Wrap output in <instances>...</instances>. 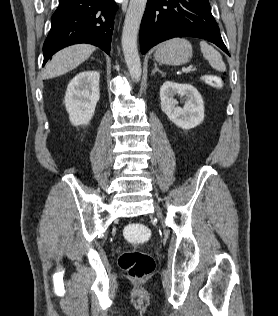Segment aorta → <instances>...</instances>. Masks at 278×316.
<instances>
[{"label":"aorta","mask_w":278,"mask_h":316,"mask_svg":"<svg viewBox=\"0 0 278 316\" xmlns=\"http://www.w3.org/2000/svg\"><path fill=\"white\" fill-rule=\"evenodd\" d=\"M147 0H130L122 31V50L131 78L138 82L142 75L137 36Z\"/></svg>","instance_id":"762f6f07"}]
</instances>
